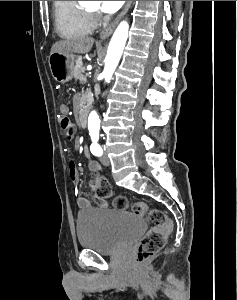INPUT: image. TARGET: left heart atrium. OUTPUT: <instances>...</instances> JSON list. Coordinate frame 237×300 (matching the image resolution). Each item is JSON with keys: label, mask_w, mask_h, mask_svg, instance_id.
<instances>
[{"label": "left heart atrium", "mask_w": 237, "mask_h": 300, "mask_svg": "<svg viewBox=\"0 0 237 300\" xmlns=\"http://www.w3.org/2000/svg\"><path fill=\"white\" fill-rule=\"evenodd\" d=\"M125 1H102L101 10L104 13L112 14L118 11Z\"/></svg>", "instance_id": "obj_1"}]
</instances>
